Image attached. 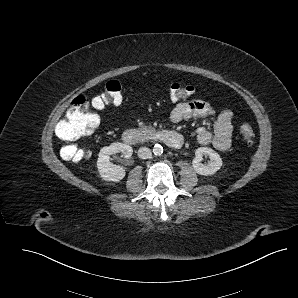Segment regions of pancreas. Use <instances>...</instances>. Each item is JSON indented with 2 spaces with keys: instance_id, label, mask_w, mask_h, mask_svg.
<instances>
[{
  "instance_id": "cf45deb5",
  "label": "pancreas",
  "mask_w": 298,
  "mask_h": 298,
  "mask_svg": "<svg viewBox=\"0 0 298 298\" xmlns=\"http://www.w3.org/2000/svg\"><path fill=\"white\" fill-rule=\"evenodd\" d=\"M149 130L155 131V129L153 127L143 125L137 129V132L147 134Z\"/></svg>"
}]
</instances>
